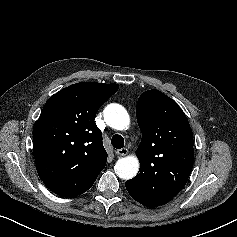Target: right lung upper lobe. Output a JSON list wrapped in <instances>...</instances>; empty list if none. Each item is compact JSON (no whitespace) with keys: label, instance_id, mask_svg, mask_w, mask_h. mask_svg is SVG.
Wrapping results in <instances>:
<instances>
[{"label":"right lung upper lobe","instance_id":"obj_1","mask_svg":"<svg viewBox=\"0 0 237 237\" xmlns=\"http://www.w3.org/2000/svg\"><path fill=\"white\" fill-rule=\"evenodd\" d=\"M117 84L80 82L51 96L33 132L37 172L55 194L76 197L89 190L106 165L96 112Z\"/></svg>","mask_w":237,"mask_h":237}]
</instances>
